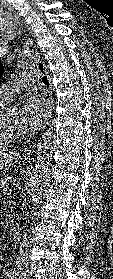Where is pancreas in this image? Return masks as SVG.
Segmentation results:
<instances>
[{"label": "pancreas", "mask_w": 113, "mask_h": 279, "mask_svg": "<svg viewBox=\"0 0 113 279\" xmlns=\"http://www.w3.org/2000/svg\"><path fill=\"white\" fill-rule=\"evenodd\" d=\"M8 183L9 179L7 177L0 180V197L6 193Z\"/></svg>", "instance_id": "cf45deb5"}]
</instances>
